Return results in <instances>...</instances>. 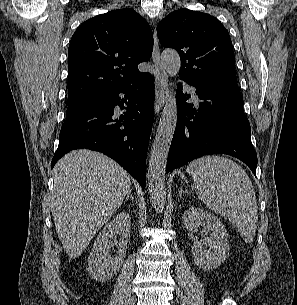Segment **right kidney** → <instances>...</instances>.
I'll return each instance as SVG.
<instances>
[{"label": "right kidney", "mask_w": 297, "mask_h": 305, "mask_svg": "<svg viewBox=\"0 0 297 305\" xmlns=\"http://www.w3.org/2000/svg\"><path fill=\"white\" fill-rule=\"evenodd\" d=\"M120 235L119 248L114 257L110 256L112 240ZM130 239V216L126 212L117 214L105 225L96 238L88 258V271L93 279L105 282L120 270L127 243Z\"/></svg>", "instance_id": "1"}]
</instances>
